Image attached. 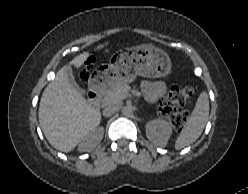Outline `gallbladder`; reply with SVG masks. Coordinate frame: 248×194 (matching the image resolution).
Here are the masks:
<instances>
[{
	"mask_svg": "<svg viewBox=\"0 0 248 194\" xmlns=\"http://www.w3.org/2000/svg\"><path fill=\"white\" fill-rule=\"evenodd\" d=\"M65 72H66V77H67V80L68 82L70 83V85L76 89L79 93H83V90L78 86L77 82L75 81L74 79V76L72 74V69L70 66H68L66 69H65Z\"/></svg>",
	"mask_w": 248,
	"mask_h": 194,
	"instance_id": "gallbladder-1",
	"label": "gallbladder"
}]
</instances>
